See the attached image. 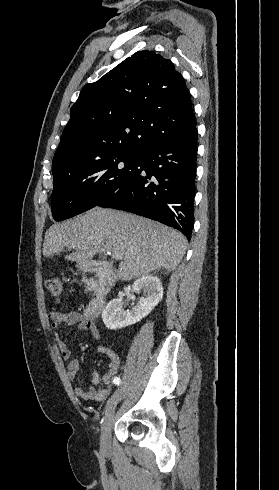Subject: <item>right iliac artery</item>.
Masks as SVG:
<instances>
[{
  "instance_id": "obj_1",
  "label": "right iliac artery",
  "mask_w": 279,
  "mask_h": 490,
  "mask_svg": "<svg viewBox=\"0 0 279 490\" xmlns=\"http://www.w3.org/2000/svg\"><path fill=\"white\" fill-rule=\"evenodd\" d=\"M114 380H115V381H114V384H115L116 386H119V385L121 384V381H120L121 379H120V377H118V376H117V377H115V379H114Z\"/></svg>"
}]
</instances>
